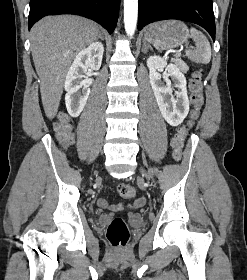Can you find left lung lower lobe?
<instances>
[{"label":"left lung lower lobe","instance_id":"left-lung-lower-lobe-1","mask_svg":"<svg viewBox=\"0 0 247 280\" xmlns=\"http://www.w3.org/2000/svg\"><path fill=\"white\" fill-rule=\"evenodd\" d=\"M165 19L196 23L215 40L212 0H139L138 30L151 22Z\"/></svg>","mask_w":247,"mask_h":280}]
</instances>
